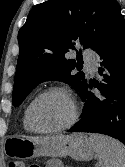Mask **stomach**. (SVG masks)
<instances>
[{
    "instance_id": "stomach-1",
    "label": "stomach",
    "mask_w": 125,
    "mask_h": 167,
    "mask_svg": "<svg viewBox=\"0 0 125 167\" xmlns=\"http://www.w3.org/2000/svg\"><path fill=\"white\" fill-rule=\"evenodd\" d=\"M7 142L8 155L26 159L70 156L75 160L87 161L95 152L90 137L81 133L46 137L12 136Z\"/></svg>"
}]
</instances>
